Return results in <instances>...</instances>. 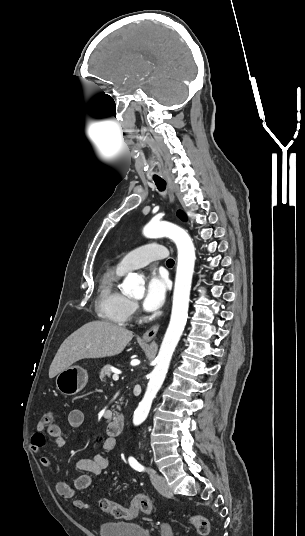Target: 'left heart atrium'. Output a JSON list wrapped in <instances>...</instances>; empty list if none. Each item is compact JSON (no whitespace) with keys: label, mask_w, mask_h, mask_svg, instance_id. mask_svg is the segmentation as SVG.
Instances as JSON below:
<instances>
[{"label":"left heart atrium","mask_w":305,"mask_h":536,"mask_svg":"<svg viewBox=\"0 0 305 536\" xmlns=\"http://www.w3.org/2000/svg\"><path fill=\"white\" fill-rule=\"evenodd\" d=\"M166 294V282L164 278L156 273H152L147 278L146 292L143 300V307L147 311H155L164 302Z\"/></svg>","instance_id":"39dd6f15"}]
</instances>
